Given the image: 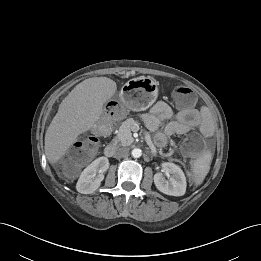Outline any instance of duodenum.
Listing matches in <instances>:
<instances>
[{
	"mask_svg": "<svg viewBox=\"0 0 261 261\" xmlns=\"http://www.w3.org/2000/svg\"><path fill=\"white\" fill-rule=\"evenodd\" d=\"M100 130L103 132H108L111 129V126L109 125V123H103L102 125H100ZM115 153V147L113 145H107L104 149V154L107 157H112Z\"/></svg>",
	"mask_w": 261,
	"mask_h": 261,
	"instance_id": "duodenum-1",
	"label": "duodenum"
}]
</instances>
